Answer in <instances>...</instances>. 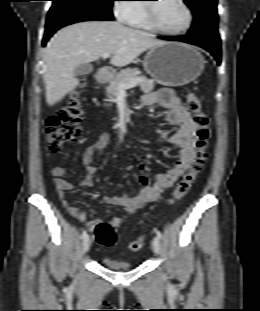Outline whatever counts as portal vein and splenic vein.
Here are the masks:
<instances>
[{
  "label": "portal vein and splenic vein",
  "instance_id": "1",
  "mask_svg": "<svg viewBox=\"0 0 260 311\" xmlns=\"http://www.w3.org/2000/svg\"><path fill=\"white\" fill-rule=\"evenodd\" d=\"M103 59H107L110 57L109 53H105L102 55ZM142 81V79L140 77H137L135 79L130 80L129 82L125 83V84H121L119 86V91H124L126 89L135 87L137 84H139Z\"/></svg>",
  "mask_w": 260,
  "mask_h": 311
}]
</instances>
